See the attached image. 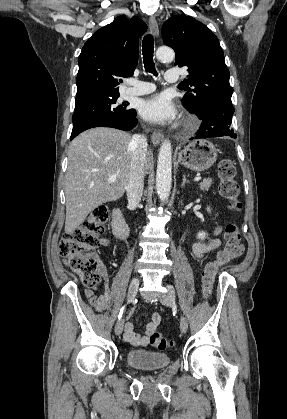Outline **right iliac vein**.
<instances>
[{"label": "right iliac vein", "mask_w": 287, "mask_h": 419, "mask_svg": "<svg viewBox=\"0 0 287 419\" xmlns=\"http://www.w3.org/2000/svg\"><path fill=\"white\" fill-rule=\"evenodd\" d=\"M139 284H140V281L138 278H133L131 280L129 284V288H128V295H127L128 302H131L135 298L138 288H139ZM123 327H124V318H120L115 326V334L120 335L123 331Z\"/></svg>", "instance_id": "right-iliac-vein-1"}]
</instances>
